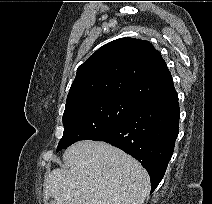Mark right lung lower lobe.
Returning <instances> with one entry per match:
<instances>
[{
  "instance_id": "98d812e1",
  "label": "right lung lower lobe",
  "mask_w": 212,
  "mask_h": 204,
  "mask_svg": "<svg viewBox=\"0 0 212 204\" xmlns=\"http://www.w3.org/2000/svg\"><path fill=\"white\" fill-rule=\"evenodd\" d=\"M178 96L174 87L139 103L121 123L91 140L104 141L136 158L151 179V192L162 180L179 132Z\"/></svg>"
}]
</instances>
